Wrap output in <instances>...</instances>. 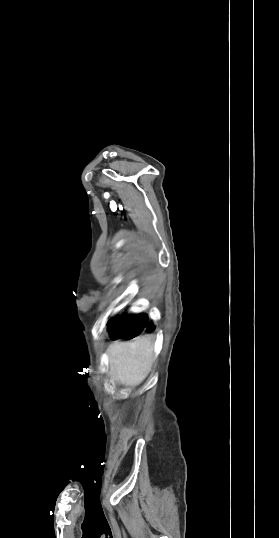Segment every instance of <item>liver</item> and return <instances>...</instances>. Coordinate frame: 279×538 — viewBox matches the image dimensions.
<instances>
[{
    "label": "liver",
    "mask_w": 279,
    "mask_h": 538,
    "mask_svg": "<svg viewBox=\"0 0 279 538\" xmlns=\"http://www.w3.org/2000/svg\"><path fill=\"white\" fill-rule=\"evenodd\" d=\"M110 376L123 386H139L147 378L153 362V346L149 338L134 342H114L109 346Z\"/></svg>",
    "instance_id": "1"
}]
</instances>
